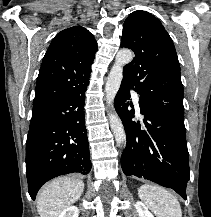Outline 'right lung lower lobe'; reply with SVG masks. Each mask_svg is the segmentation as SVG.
I'll list each match as a JSON object with an SVG mask.
<instances>
[{"label":"right lung lower lobe","mask_w":211,"mask_h":217,"mask_svg":"<svg viewBox=\"0 0 211 217\" xmlns=\"http://www.w3.org/2000/svg\"><path fill=\"white\" fill-rule=\"evenodd\" d=\"M86 86L70 96L33 110L26 142L28 191H37L59 175L91 170L84 117Z\"/></svg>","instance_id":"obj_1"}]
</instances>
